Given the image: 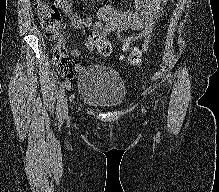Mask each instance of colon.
I'll use <instances>...</instances> for the list:
<instances>
[{
    "label": "colon",
    "instance_id": "obj_1",
    "mask_svg": "<svg viewBox=\"0 0 219 192\" xmlns=\"http://www.w3.org/2000/svg\"><path fill=\"white\" fill-rule=\"evenodd\" d=\"M36 15L45 36L55 44L53 61L58 73L65 79H72L77 69L65 49L64 25L58 8L49 0H38L35 7ZM102 55L112 53V45L106 38L96 40V49ZM124 61L129 65H139L142 53L127 44L124 47Z\"/></svg>",
    "mask_w": 219,
    "mask_h": 192
}]
</instances>
